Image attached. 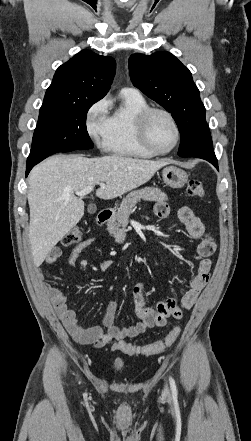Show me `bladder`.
<instances>
[{
    "instance_id": "1",
    "label": "bladder",
    "mask_w": 251,
    "mask_h": 441,
    "mask_svg": "<svg viewBox=\"0 0 251 441\" xmlns=\"http://www.w3.org/2000/svg\"><path fill=\"white\" fill-rule=\"evenodd\" d=\"M114 371H119L122 369V367L120 365H114L112 368Z\"/></svg>"
}]
</instances>
